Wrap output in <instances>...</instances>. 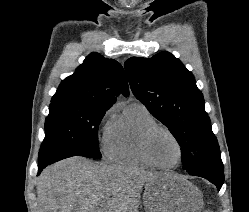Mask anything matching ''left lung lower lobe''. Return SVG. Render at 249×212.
Segmentation results:
<instances>
[{
    "label": "left lung lower lobe",
    "instance_id": "left-lung-lower-lobe-1",
    "mask_svg": "<svg viewBox=\"0 0 249 212\" xmlns=\"http://www.w3.org/2000/svg\"><path fill=\"white\" fill-rule=\"evenodd\" d=\"M190 175L203 177L213 183L218 190L223 185L224 182V172L223 164L222 165H212L205 168H202L196 172L189 173Z\"/></svg>",
    "mask_w": 249,
    "mask_h": 212
}]
</instances>
